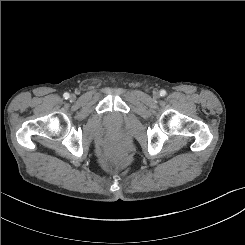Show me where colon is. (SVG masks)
Returning <instances> with one entry per match:
<instances>
[{
    "instance_id": "obj_1",
    "label": "colon",
    "mask_w": 245,
    "mask_h": 245,
    "mask_svg": "<svg viewBox=\"0 0 245 245\" xmlns=\"http://www.w3.org/2000/svg\"><path fill=\"white\" fill-rule=\"evenodd\" d=\"M110 150H111L110 160L117 165L122 164L124 161V151L120 146V144L113 142L110 145Z\"/></svg>"
}]
</instances>
